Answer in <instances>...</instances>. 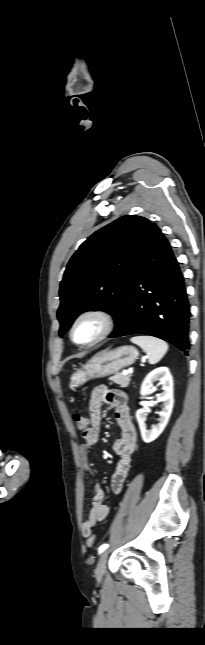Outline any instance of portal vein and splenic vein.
<instances>
[{
    "label": "portal vein and splenic vein",
    "mask_w": 205,
    "mask_h": 645,
    "mask_svg": "<svg viewBox=\"0 0 205 645\" xmlns=\"http://www.w3.org/2000/svg\"><path fill=\"white\" fill-rule=\"evenodd\" d=\"M129 373H130V372H129V371H127V370H124V371H123V375H128Z\"/></svg>",
    "instance_id": "obj_1"
}]
</instances>
